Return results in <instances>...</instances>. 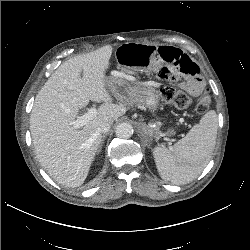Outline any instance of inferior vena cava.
<instances>
[{"label": "inferior vena cava", "instance_id": "inferior-vena-cava-1", "mask_svg": "<svg viewBox=\"0 0 250 250\" xmlns=\"http://www.w3.org/2000/svg\"><path fill=\"white\" fill-rule=\"evenodd\" d=\"M112 122L111 121H103L100 123L98 127V131L100 133H107L111 127Z\"/></svg>", "mask_w": 250, "mask_h": 250}]
</instances>
